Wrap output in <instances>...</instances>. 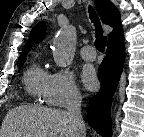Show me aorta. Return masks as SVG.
I'll return each mask as SVG.
<instances>
[{
    "label": "aorta",
    "instance_id": "762f6f07",
    "mask_svg": "<svg viewBox=\"0 0 144 137\" xmlns=\"http://www.w3.org/2000/svg\"><path fill=\"white\" fill-rule=\"evenodd\" d=\"M77 40L76 29L73 26L61 31L54 39L53 58L57 66L66 67L71 64Z\"/></svg>",
    "mask_w": 144,
    "mask_h": 137
}]
</instances>
